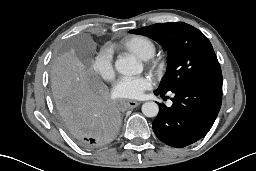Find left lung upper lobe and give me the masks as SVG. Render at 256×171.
I'll return each mask as SVG.
<instances>
[{
    "label": "left lung upper lobe",
    "mask_w": 256,
    "mask_h": 171,
    "mask_svg": "<svg viewBox=\"0 0 256 171\" xmlns=\"http://www.w3.org/2000/svg\"><path fill=\"white\" fill-rule=\"evenodd\" d=\"M157 41L168 53V68L158 91L166 93L183 84L222 86V72L208 38L183 22L157 23L129 31Z\"/></svg>",
    "instance_id": "1"
}]
</instances>
